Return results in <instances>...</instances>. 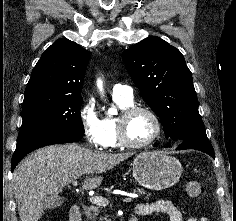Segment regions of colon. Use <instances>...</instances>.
I'll return each instance as SVG.
<instances>
[{"label":"colon","instance_id":"colon-1","mask_svg":"<svg viewBox=\"0 0 236 221\" xmlns=\"http://www.w3.org/2000/svg\"><path fill=\"white\" fill-rule=\"evenodd\" d=\"M186 194L190 198H199L204 194V188L198 181H190L186 184Z\"/></svg>","mask_w":236,"mask_h":221}]
</instances>
